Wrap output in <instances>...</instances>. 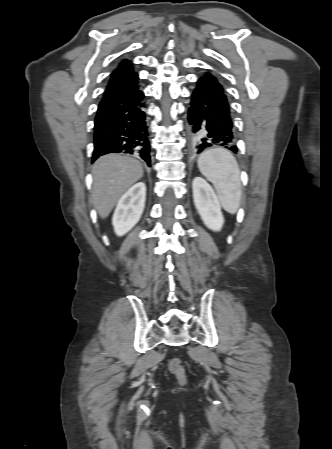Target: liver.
<instances>
[{
	"label": "liver",
	"instance_id": "obj_1",
	"mask_svg": "<svg viewBox=\"0 0 332 449\" xmlns=\"http://www.w3.org/2000/svg\"><path fill=\"white\" fill-rule=\"evenodd\" d=\"M92 203L101 218H106L119 198L143 176L139 161L125 155L108 154L93 165Z\"/></svg>",
	"mask_w": 332,
	"mask_h": 449
}]
</instances>
